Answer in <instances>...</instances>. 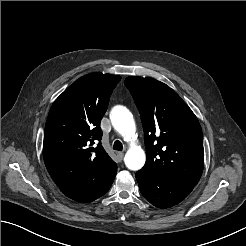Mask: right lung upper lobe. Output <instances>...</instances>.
I'll list each match as a JSON object with an SVG mask.
<instances>
[{"mask_svg": "<svg viewBox=\"0 0 246 246\" xmlns=\"http://www.w3.org/2000/svg\"><path fill=\"white\" fill-rule=\"evenodd\" d=\"M118 75L91 73L76 80L53 103L45 125L43 157L59 188L107 181L117 165L100 143V121Z\"/></svg>", "mask_w": 246, "mask_h": 246, "instance_id": "obj_1", "label": "right lung upper lobe"}]
</instances>
